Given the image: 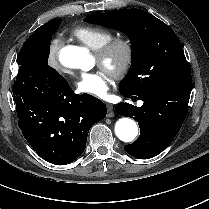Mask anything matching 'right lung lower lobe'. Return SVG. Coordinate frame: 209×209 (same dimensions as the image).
I'll return each instance as SVG.
<instances>
[{"label":"right lung lower lobe","mask_w":209,"mask_h":209,"mask_svg":"<svg viewBox=\"0 0 209 209\" xmlns=\"http://www.w3.org/2000/svg\"><path fill=\"white\" fill-rule=\"evenodd\" d=\"M12 91L22 134L40 157L56 165L83 153L89 129L107 112L98 98L74 94L51 67L20 66Z\"/></svg>","instance_id":"obj_1"}]
</instances>
